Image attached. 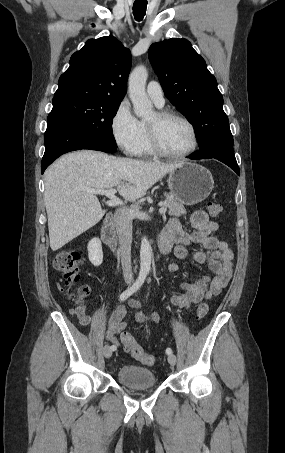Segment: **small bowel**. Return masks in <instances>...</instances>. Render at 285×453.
<instances>
[{
  "instance_id": "small-bowel-1",
  "label": "small bowel",
  "mask_w": 285,
  "mask_h": 453,
  "mask_svg": "<svg viewBox=\"0 0 285 453\" xmlns=\"http://www.w3.org/2000/svg\"><path fill=\"white\" fill-rule=\"evenodd\" d=\"M190 225L194 230L187 232L178 218H171L161 233L160 237L167 239L171 245H176L174 248L176 260L170 262L168 268L171 272H176L179 269L178 260L191 256L196 263H207L214 277H191L182 282L180 288L183 292L173 295L169 301L172 305L181 308H188L204 299L218 295L228 285L233 274V252L226 242L215 235L218 224L210 220L204 211L198 210L192 214ZM192 245H201L204 250L191 254L188 247ZM85 288L88 292V288ZM141 306L142 304L135 299L129 300L127 305L116 306L105 331L106 339L113 346H119L116 335L122 334L127 328L128 308L134 309L133 319L137 323L158 322L159 317L156 313L145 315L139 310ZM72 312L78 317L81 325L87 326L91 323V317L85 313L83 302L78 303Z\"/></svg>"
}]
</instances>
